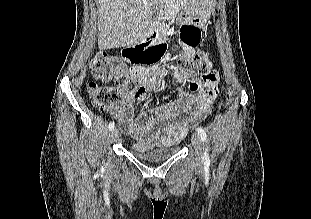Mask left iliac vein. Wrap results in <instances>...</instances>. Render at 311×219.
Masks as SVG:
<instances>
[{"mask_svg":"<svg viewBox=\"0 0 311 219\" xmlns=\"http://www.w3.org/2000/svg\"><path fill=\"white\" fill-rule=\"evenodd\" d=\"M191 141L195 149L196 160L198 163H201L203 160V148H202V141H201L199 133L194 132L192 134Z\"/></svg>","mask_w":311,"mask_h":219,"instance_id":"1","label":"left iliac vein"}]
</instances>
